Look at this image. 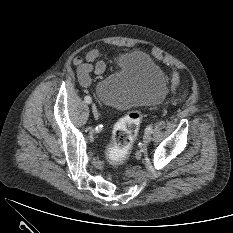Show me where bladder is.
<instances>
[{
	"instance_id": "31cf9c89",
	"label": "bladder",
	"mask_w": 233,
	"mask_h": 233,
	"mask_svg": "<svg viewBox=\"0 0 233 233\" xmlns=\"http://www.w3.org/2000/svg\"><path fill=\"white\" fill-rule=\"evenodd\" d=\"M167 91L163 70L141 51L124 55L119 68L101 80L96 88L99 100L117 112L156 105L165 98Z\"/></svg>"
}]
</instances>
